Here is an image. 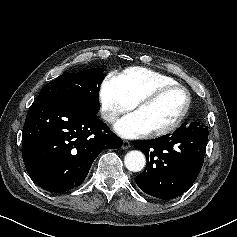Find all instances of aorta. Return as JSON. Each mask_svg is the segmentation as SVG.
I'll return each instance as SVG.
<instances>
[{
    "instance_id": "aorta-1",
    "label": "aorta",
    "mask_w": 237,
    "mask_h": 237,
    "mask_svg": "<svg viewBox=\"0 0 237 237\" xmlns=\"http://www.w3.org/2000/svg\"><path fill=\"white\" fill-rule=\"evenodd\" d=\"M124 164L129 171L139 172L146 164L145 155L138 150L130 151L125 155Z\"/></svg>"
}]
</instances>
